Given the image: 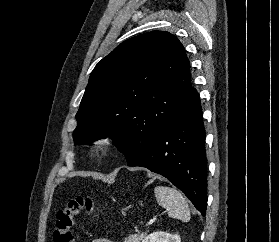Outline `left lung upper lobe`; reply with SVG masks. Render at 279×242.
Wrapping results in <instances>:
<instances>
[{
    "mask_svg": "<svg viewBox=\"0 0 279 242\" xmlns=\"http://www.w3.org/2000/svg\"><path fill=\"white\" fill-rule=\"evenodd\" d=\"M190 62L166 31L130 38L92 71L73 132L75 144L112 137L127 162L142 154L185 101Z\"/></svg>",
    "mask_w": 279,
    "mask_h": 242,
    "instance_id": "5c2ea615",
    "label": "left lung upper lobe"
}]
</instances>
